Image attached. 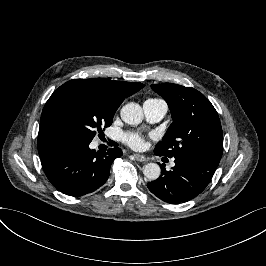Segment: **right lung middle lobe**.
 Segmentation results:
<instances>
[{
  "label": "right lung middle lobe",
  "instance_id": "1",
  "mask_svg": "<svg viewBox=\"0 0 266 266\" xmlns=\"http://www.w3.org/2000/svg\"><path fill=\"white\" fill-rule=\"evenodd\" d=\"M122 100L98 81L74 79L60 86L42 114L52 135L60 141L91 142L102 126H110Z\"/></svg>",
  "mask_w": 266,
  "mask_h": 266
}]
</instances>
